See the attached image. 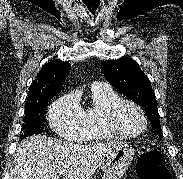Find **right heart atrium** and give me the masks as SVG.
I'll use <instances>...</instances> for the list:
<instances>
[{"label":"right heart atrium","mask_w":183,"mask_h":179,"mask_svg":"<svg viewBox=\"0 0 183 179\" xmlns=\"http://www.w3.org/2000/svg\"><path fill=\"white\" fill-rule=\"evenodd\" d=\"M50 124L63 139L78 141L86 131L84 112L73 93L65 94L50 108Z\"/></svg>","instance_id":"1"}]
</instances>
